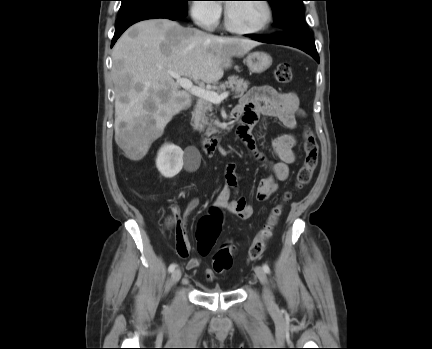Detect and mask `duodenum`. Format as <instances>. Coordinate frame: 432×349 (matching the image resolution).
Instances as JSON below:
<instances>
[{
    "label": "duodenum",
    "mask_w": 432,
    "mask_h": 349,
    "mask_svg": "<svg viewBox=\"0 0 432 349\" xmlns=\"http://www.w3.org/2000/svg\"><path fill=\"white\" fill-rule=\"evenodd\" d=\"M238 115H240V113L233 111L232 118L237 119ZM219 142H220V138L218 136L203 140L204 151L207 156H213L217 152Z\"/></svg>",
    "instance_id": "duodenum-1"
}]
</instances>
